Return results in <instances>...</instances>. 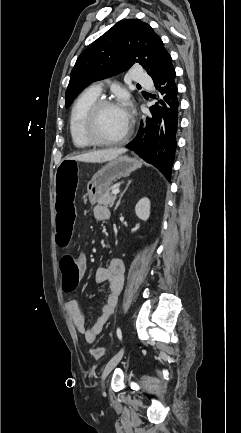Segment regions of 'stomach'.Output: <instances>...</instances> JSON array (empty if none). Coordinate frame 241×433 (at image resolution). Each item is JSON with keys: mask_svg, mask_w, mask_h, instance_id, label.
Listing matches in <instances>:
<instances>
[{"mask_svg": "<svg viewBox=\"0 0 241 433\" xmlns=\"http://www.w3.org/2000/svg\"><path fill=\"white\" fill-rule=\"evenodd\" d=\"M140 161L128 156H118L103 166L91 178L87 185V195L91 204H95L100 195L106 192L117 179L129 176L140 167Z\"/></svg>", "mask_w": 241, "mask_h": 433, "instance_id": "1", "label": "stomach"}]
</instances>
